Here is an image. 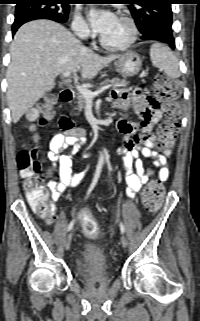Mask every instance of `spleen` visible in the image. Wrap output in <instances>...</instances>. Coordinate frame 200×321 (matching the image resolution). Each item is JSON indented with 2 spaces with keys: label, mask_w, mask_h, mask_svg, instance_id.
<instances>
[{
  "label": "spleen",
  "mask_w": 200,
  "mask_h": 321,
  "mask_svg": "<svg viewBox=\"0 0 200 321\" xmlns=\"http://www.w3.org/2000/svg\"><path fill=\"white\" fill-rule=\"evenodd\" d=\"M150 59L154 67L164 70L170 78L180 77L178 60L174 53L160 43H154L150 48Z\"/></svg>",
  "instance_id": "1"
}]
</instances>
